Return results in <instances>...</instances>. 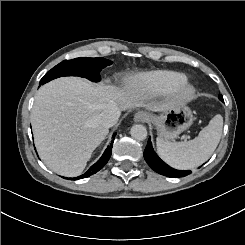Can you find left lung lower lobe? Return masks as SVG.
I'll list each match as a JSON object with an SVG mask.
<instances>
[{"label":"left lung lower lobe","instance_id":"1","mask_svg":"<svg viewBox=\"0 0 245 245\" xmlns=\"http://www.w3.org/2000/svg\"><path fill=\"white\" fill-rule=\"evenodd\" d=\"M219 99L223 101L222 95L219 96ZM144 158L147 164L157 173L164 175L166 177H185L191 173L190 170H176L168 166L163 162L157 154L154 152L151 144V140H148L147 146L144 150Z\"/></svg>","mask_w":245,"mask_h":245}]
</instances>
